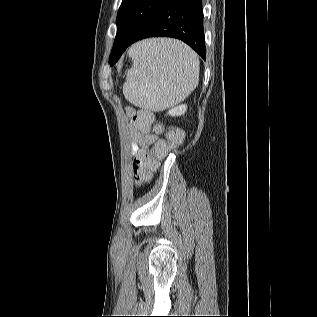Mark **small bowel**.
Instances as JSON below:
<instances>
[{"label":"small bowel","instance_id":"obj_1","mask_svg":"<svg viewBox=\"0 0 317 317\" xmlns=\"http://www.w3.org/2000/svg\"><path fill=\"white\" fill-rule=\"evenodd\" d=\"M134 113V109L127 108V115L131 120V132L134 139V143L132 145V153L133 155L137 156L142 152H147L150 147L156 142L158 137L155 134H145L134 127L132 123V116Z\"/></svg>","mask_w":317,"mask_h":317}]
</instances>
